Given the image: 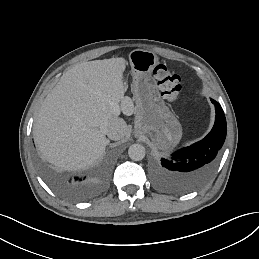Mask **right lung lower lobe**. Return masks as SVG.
I'll return each mask as SVG.
<instances>
[{"mask_svg":"<svg viewBox=\"0 0 259 259\" xmlns=\"http://www.w3.org/2000/svg\"><path fill=\"white\" fill-rule=\"evenodd\" d=\"M68 182L70 183L69 186H65V190H70V191H81V193H79L77 195L78 198H86L88 197V193H86L89 189L95 187V184H93V182L88 181L87 176H76L73 178H70L68 180Z\"/></svg>","mask_w":259,"mask_h":259,"instance_id":"1","label":"right lung lower lobe"}]
</instances>
